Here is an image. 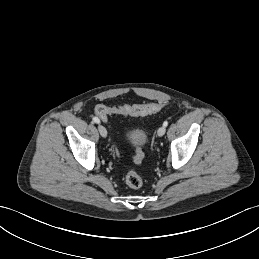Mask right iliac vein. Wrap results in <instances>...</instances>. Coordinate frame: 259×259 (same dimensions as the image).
Segmentation results:
<instances>
[{"instance_id": "1", "label": "right iliac vein", "mask_w": 259, "mask_h": 259, "mask_svg": "<svg viewBox=\"0 0 259 259\" xmlns=\"http://www.w3.org/2000/svg\"><path fill=\"white\" fill-rule=\"evenodd\" d=\"M98 130H99L100 135L103 138H105L107 136V130H106V128L103 125H99L98 126Z\"/></svg>"}]
</instances>
